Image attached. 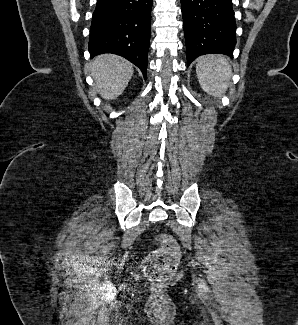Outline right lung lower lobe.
<instances>
[{
	"mask_svg": "<svg viewBox=\"0 0 298 325\" xmlns=\"http://www.w3.org/2000/svg\"><path fill=\"white\" fill-rule=\"evenodd\" d=\"M152 4V0H97L89 37L91 57L118 54L146 78Z\"/></svg>",
	"mask_w": 298,
	"mask_h": 325,
	"instance_id": "1",
	"label": "right lung lower lobe"
}]
</instances>
